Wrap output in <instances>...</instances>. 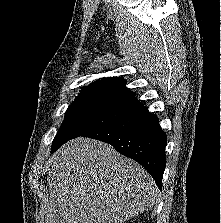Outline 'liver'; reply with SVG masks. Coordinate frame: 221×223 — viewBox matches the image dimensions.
Returning <instances> with one entry per match:
<instances>
[{
    "mask_svg": "<svg viewBox=\"0 0 221 223\" xmlns=\"http://www.w3.org/2000/svg\"><path fill=\"white\" fill-rule=\"evenodd\" d=\"M45 223H123L151 209L159 190L137 162L78 137L47 162Z\"/></svg>",
    "mask_w": 221,
    "mask_h": 223,
    "instance_id": "liver-1",
    "label": "liver"
}]
</instances>
